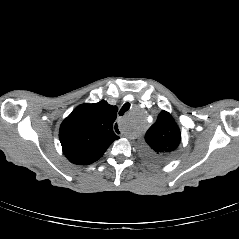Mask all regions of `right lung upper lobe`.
Segmentation results:
<instances>
[{
	"label": "right lung upper lobe",
	"instance_id": "1",
	"mask_svg": "<svg viewBox=\"0 0 239 239\" xmlns=\"http://www.w3.org/2000/svg\"><path fill=\"white\" fill-rule=\"evenodd\" d=\"M117 111L116 106L105 100L75 108L60 126L59 138L65 156L78 165L98 160L119 138L113 131Z\"/></svg>",
	"mask_w": 239,
	"mask_h": 239
}]
</instances>
